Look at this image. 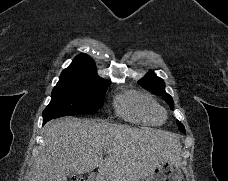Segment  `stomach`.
<instances>
[{"label":"stomach","instance_id":"0dacf381","mask_svg":"<svg viewBox=\"0 0 228 181\" xmlns=\"http://www.w3.org/2000/svg\"><path fill=\"white\" fill-rule=\"evenodd\" d=\"M144 181H184V177L176 165L161 163L159 167H156L154 175L146 177Z\"/></svg>","mask_w":228,"mask_h":181}]
</instances>
